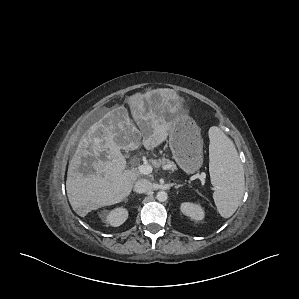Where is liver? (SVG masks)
Returning <instances> with one entry per match:
<instances>
[{
    "instance_id": "liver-1",
    "label": "liver",
    "mask_w": 299,
    "mask_h": 299,
    "mask_svg": "<svg viewBox=\"0 0 299 299\" xmlns=\"http://www.w3.org/2000/svg\"><path fill=\"white\" fill-rule=\"evenodd\" d=\"M133 117L124 106L109 110L81 137L69 162L66 191L72 209L81 217L90 211L123 201L132 191L139 175L125 170L121 150L134 151L141 142L152 150L166 140L170 122L152 101H133Z\"/></svg>"
}]
</instances>
